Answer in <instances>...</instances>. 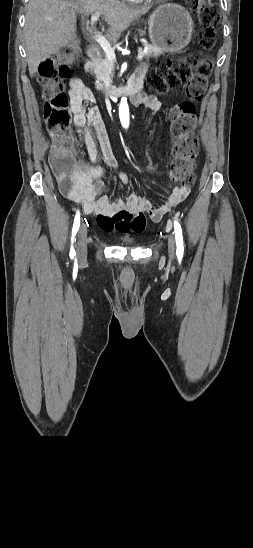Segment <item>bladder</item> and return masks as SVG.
<instances>
[{
    "label": "bladder",
    "instance_id": "31cf9c89",
    "mask_svg": "<svg viewBox=\"0 0 253 548\" xmlns=\"http://www.w3.org/2000/svg\"><path fill=\"white\" fill-rule=\"evenodd\" d=\"M122 240H123L124 242H126V243H132V242L134 241V240L131 239V238H123Z\"/></svg>",
    "mask_w": 253,
    "mask_h": 548
}]
</instances>
